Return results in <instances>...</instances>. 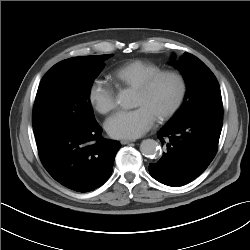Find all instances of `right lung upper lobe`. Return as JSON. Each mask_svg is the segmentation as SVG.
Instances as JSON below:
<instances>
[{
  "label": "right lung upper lobe",
  "mask_w": 250,
  "mask_h": 250,
  "mask_svg": "<svg viewBox=\"0 0 250 250\" xmlns=\"http://www.w3.org/2000/svg\"><path fill=\"white\" fill-rule=\"evenodd\" d=\"M89 56H82V57H74V58H70V59H66V60H63L61 62H65V61H72V60H85L87 59ZM59 62V63H61Z\"/></svg>",
  "instance_id": "obj_1"
}]
</instances>
